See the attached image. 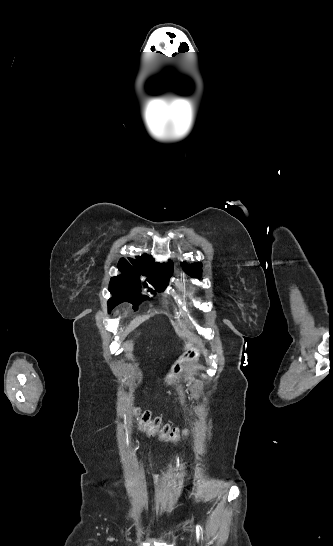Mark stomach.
<instances>
[{
  "label": "stomach",
  "mask_w": 333,
  "mask_h": 546,
  "mask_svg": "<svg viewBox=\"0 0 333 546\" xmlns=\"http://www.w3.org/2000/svg\"><path fill=\"white\" fill-rule=\"evenodd\" d=\"M203 352L201 346L192 347L188 349L171 367V370L166 375L165 382L167 384H172L174 381L178 380L181 374L184 372L189 362H197L199 360L200 354Z\"/></svg>",
  "instance_id": "obj_1"
}]
</instances>
